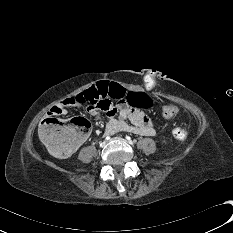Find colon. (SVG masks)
I'll list each match as a JSON object with an SVG mask.
<instances>
[{
    "label": "colon",
    "instance_id": "5ec220e1",
    "mask_svg": "<svg viewBox=\"0 0 233 233\" xmlns=\"http://www.w3.org/2000/svg\"><path fill=\"white\" fill-rule=\"evenodd\" d=\"M106 97L111 100H126L127 104L135 109H147L150 106L147 95L138 90L127 91L123 85L114 80H101L92 88L83 91L73 97L76 104L87 106L97 103L98 100ZM178 113L176 105L170 103L162 108V116L171 118ZM91 129L90 122L82 117L72 119L69 123L63 124L59 119L50 116L45 118L39 129V135L49 151L58 158H66L74 153L80 143L84 141ZM172 136L177 140H185L188 137L187 129L175 127Z\"/></svg>",
    "mask_w": 233,
    "mask_h": 233
}]
</instances>
